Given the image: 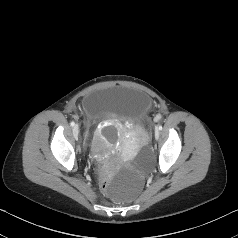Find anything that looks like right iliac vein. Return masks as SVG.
<instances>
[{
  "instance_id": "obj_1",
  "label": "right iliac vein",
  "mask_w": 238,
  "mask_h": 238,
  "mask_svg": "<svg viewBox=\"0 0 238 238\" xmlns=\"http://www.w3.org/2000/svg\"><path fill=\"white\" fill-rule=\"evenodd\" d=\"M73 135L75 136L74 140L78 141L79 126L77 124L73 126Z\"/></svg>"
}]
</instances>
